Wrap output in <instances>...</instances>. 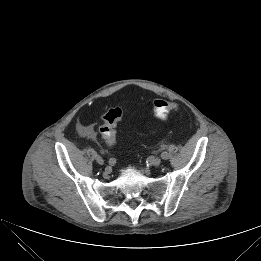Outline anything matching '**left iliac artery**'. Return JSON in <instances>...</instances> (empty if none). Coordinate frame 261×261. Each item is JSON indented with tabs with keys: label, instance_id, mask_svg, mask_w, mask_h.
Here are the masks:
<instances>
[{
	"label": "left iliac artery",
	"instance_id": "left-iliac-artery-1",
	"mask_svg": "<svg viewBox=\"0 0 261 261\" xmlns=\"http://www.w3.org/2000/svg\"><path fill=\"white\" fill-rule=\"evenodd\" d=\"M160 156H161L162 159L167 160L168 157H169V154H168L167 151L163 150V151L160 153Z\"/></svg>",
	"mask_w": 261,
	"mask_h": 261
}]
</instances>
